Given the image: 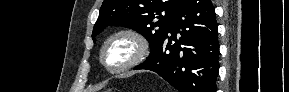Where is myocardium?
Here are the masks:
<instances>
[{
    "instance_id": "f54148a6",
    "label": "myocardium",
    "mask_w": 289,
    "mask_h": 92,
    "mask_svg": "<svg viewBox=\"0 0 289 92\" xmlns=\"http://www.w3.org/2000/svg\"><path fill=\"white\" fill-rule=\"evenodd\" d=\"M118 38L128 39L133 44V53L131 57L119 66H111L107 63L106 52L109 45ZM150 44L147 38L139 31L133 28H122L110 34L103 42L99 60L102 66L110 73H121L132 69L141 64L149 55Z\"/></svg>"
}]
</instances>
